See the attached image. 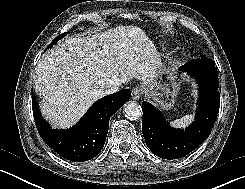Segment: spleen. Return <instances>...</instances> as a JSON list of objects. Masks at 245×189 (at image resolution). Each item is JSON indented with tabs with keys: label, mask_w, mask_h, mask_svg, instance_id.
<instances>
[{
	"label": "spleen",
	"mask_w": 245,
	"mask_h": 189,
	"mask_svg": "<svg viewBox=\"0 0 245 189\" xmlns=\"http://www.w3.org/2000/svg\"><path fill=\"white\" fill-rule=\"evenodd\" d=\"M194 119V115L190 114V115H185L184 117L180 118V119H176L174 121L171 122V125L174 127H186L189 123H191Z\"/></svg>",
	"instance_id": "3e777b00"
}]
</instances>
